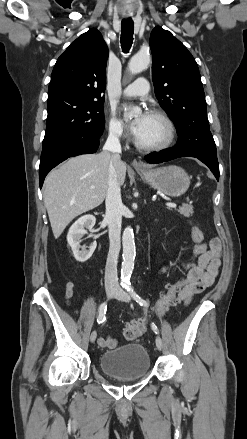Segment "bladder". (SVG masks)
<instances>
[{"label": "bladder", "mask_w": 247, "mask_h": 439, "mask_svg": "<svg viewBox=\"0 0 247 439\" xmlns=\"http://www.w3.org/2000/svg\"><path fill=\"white\" fill-rule=\"evenodd\" d=\"M100 368L120 381L137 380L149 372L150 357L143 345L127 344L104 352L100 356Z\"/></svg>", "instance_id": "31cf9c89"}]
</instances>
